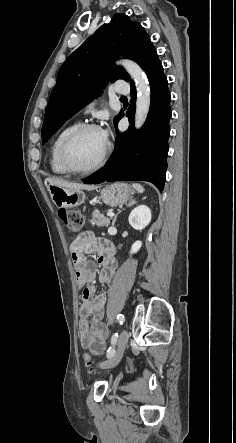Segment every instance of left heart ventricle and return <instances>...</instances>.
Here are the masks:
<instances>
[{
	"mask_svg": "<svg viewBox=\"0 0 236 443\" xmlns=\"http://www.w3.org/2000/svg\"><path fill=\"white\" fill-rule=\"evenodd\" d=\"M106 143L101 131H86L71 144L68 153L69 160L76 168H91L100 159Z\"/></svg>",
	"mask_w": 236,
	"mask_h": 443,
	"instance_id": "1",
	"label": "left heart ventricle"
}]
</instances>
